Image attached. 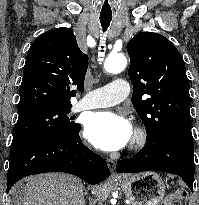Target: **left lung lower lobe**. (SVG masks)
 <instances>
[{"mask_svg": "<svg viewBox=\"0 0 199 205\" xmlns=\"http://www.w3.org/2000/svg\"><path fill=\"white\" fill-rule=\"evenodd\" d=\"M147 170L179 175L193 192L195 164L191 130L174 129L160 139L147 138L141 151L116 165L118 173Z\"/></svg>", "mask_w": 199, "mask_h": 205, "instance_id": "1", "label": "left lung lower lobe"}]
</instances>
